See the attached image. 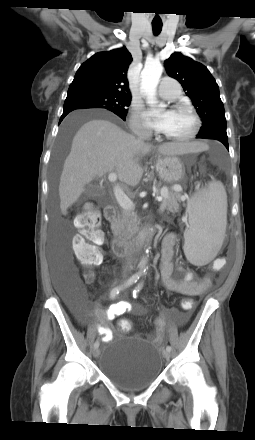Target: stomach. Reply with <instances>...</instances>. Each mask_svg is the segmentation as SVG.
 <instances>
[{"mask_svg":"<svg viewBox=\"0 0 255 440\" xmlns=\"http://www.w3.org/2000/svg\"><path fill=\"white\" fill-rule=\"evenodd\" d=\"M155 166L159 177L167 183L179 182L185 175V167L176 156L158 157Z\"/></svg>","mask_w":255,"mask_h":440,"instance_id":"1","label":"stomach"}]
</instances>
